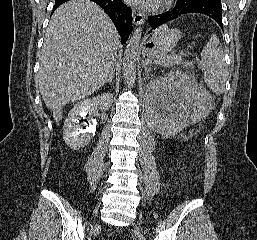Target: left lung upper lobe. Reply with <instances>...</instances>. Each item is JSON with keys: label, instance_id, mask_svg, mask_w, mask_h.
<instances>
[{"label": "left lung upper lobe", "instance_id": "5c2ea615", "mask_svg": "<svg viewBox=\"0 0 257 240\" xmlns=\"http://www.w3.org/2000/svg\"><path fill=\"white\" fill-rule=\"evenodd\" d=\"M187 1H190V2H196V1H199V0H187Z\"/></svg>", "mask_w": 257, "mask_h": 240}]
</instances>
